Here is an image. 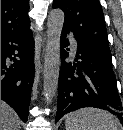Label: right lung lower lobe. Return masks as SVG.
Masks as SVG:
<instances>
[{
    "label": "right lung lower lobe",
    "instance_id": "1",
    "mask_svg": "<svg viewBox=\"0 0 123 130\" xmlns=\"http://www.w3.org/2000/svg\"><path fill=\"white\" fill-rule=\"evenodd\" d=\"M33 76L34 40L31 30L1 35V99L24 122L28 117Z\"/></svg>",
    "mask_w": 123,
    "mask_h": 130
}]
</instances>
